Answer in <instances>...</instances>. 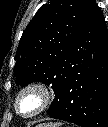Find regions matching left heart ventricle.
<instances>
[{
  "instance_id": "1",
  "label": "left heart ventricle",
  "mask_w": 108,
  "mask_h": 127,
  "mask_svg": "<svg viewBox=\"0 0 108 127\" xmlns=\"http://www.w3.org/2000/svg\"><path fill=\"white\" fill-rule=\"evenodd\" d=\"M37 97L35 95H28L23 98L21 102V108L23 111H30L32 110L37 104Z\"/></svg>"
}]
</instances>
